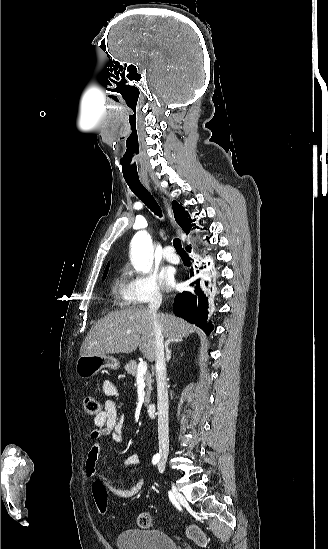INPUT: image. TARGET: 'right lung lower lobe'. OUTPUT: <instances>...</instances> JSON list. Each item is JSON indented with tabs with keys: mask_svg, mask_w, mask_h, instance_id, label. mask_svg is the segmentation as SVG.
<instances>
[{
	"mask_svg": "<svg viewBox=\"0 0 328 549\" xmlns=\"http://www.w3.org/2000/svg\"><path fill=\"white\" fill-rule=\"evenodd\" d=\"M200 269H203V267ZM197 272L199 271L197 270ZM193 276L194 273L191 271L185 275V279L190 280ZM203 278L205 279L203 285L199 282V279L198 282L194 281L190 284L193 287L192 291H185L176 295L174 300V312L190 323H194L209 335L213 330V325L207 320L208 298L205 293V287H208L211 278L206 275H204Z\"/></svg>",
	"mask_w": 328,
	"mask_h": 549,
	"instance_id": "obj_1",
	"label": "right lung lower lobe"
}]
</instances>
